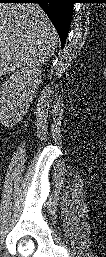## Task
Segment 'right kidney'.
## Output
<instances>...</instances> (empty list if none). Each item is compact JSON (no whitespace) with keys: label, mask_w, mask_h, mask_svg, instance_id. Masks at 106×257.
<instances>
[{"label":"right kidney","mask_w":106,"mask_h":257,"mask_svg":"<svg viewBox=\"0 0 106 257\" xmlns=\"http://www.w3.org/2000/svg\"><path fill=\"white\" fill-rule=\"evenodd\" d=\"M38 66L17 69L0 87L1 118L16 123L32 102L41 82Z\"/></svg>","instance_id":"1"}]
</instances>
